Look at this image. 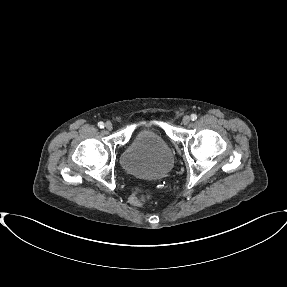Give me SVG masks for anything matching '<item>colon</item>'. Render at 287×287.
<instances>
[{"label":"colon","instance_id":"1","mask_svg":"<svg viewBox=\"0 0 287 287\" xmlns=\"http://www.w3.org/2000/svg\"><path fill=\"white\" fill-rule=\"evenodd\" d=\"M152 198V192L144 187H135L132 189L129 201L134 206H144L146 205Z\"/></svg>","mask_w":287,"mask_h":287}]
</instances>
